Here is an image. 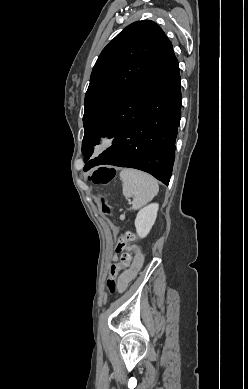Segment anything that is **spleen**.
I'll use <instances>...</instances> for the list:
<instances>
[{
  "label": "spleen",
  "instance_id": "1",
  "mask_svg": "<svg viewBox=\"0 0 248 389\" xmlns=\"http://www.w3.org/2000/svg\"><path fill=\"white\" fill-rule=\"evenodd\" d=\"M122 193L125 198L133 197L132 210H138L150 202L158 193V182L143 171L123 169L120 173Z\"/></svg>",
  "mask_w": 248,
  "mask_h": 389
}]
</instances>
